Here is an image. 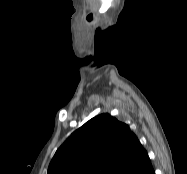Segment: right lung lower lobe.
<instances>
[{"label":"right lung lower lobe","mask_w":187,"mask_h":174,"mask_svg":"<svg viewBox=\"0 0 187 174\" xmlns=\"http://www.w3.org/2000/svg\"><path fill=\"white\" fill-rule=\"evenodd\" d=\"M150 174H155L154 170H153V172H151Z\"/></svg>","instance_id":"right-lung-lower-lobe-1"}]
</instances>
